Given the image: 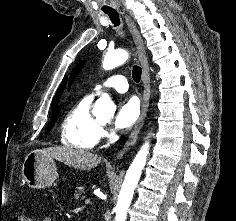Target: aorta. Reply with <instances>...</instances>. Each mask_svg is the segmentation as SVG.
<instances>
[{
	"instance_id": "obj_1",
	"label": "aorta",
	"mask_w": 236,
	"mask_h": 221,
	"mask_svg": "<svg viewBox=\"0 0 236 221\" xmlns=\"http://www.w3.org/2000/svg\"><path fill=\"white\" fill-rule=\"evenodd\" d=\"M128 57L129 54L126 50L119 49L110 51L104 57L103 68L105 70L114 69L122 65L128 59ZM115 111L116 106L111 101L109 95L103 93L102 96L96 101L92 113L97 118L110 119L114 116ZM148 153L149 142H145V144L141 147L140 151L135 156L126 173L120 194L118 196V202L115 207V221L126 220L127 211L133 198L135 187L146 164Z\"/></svg>"
}]
</instances>
